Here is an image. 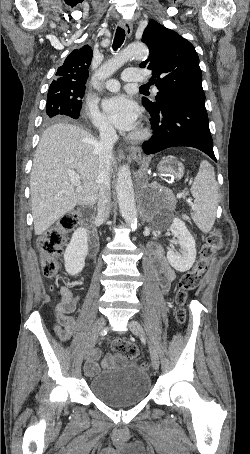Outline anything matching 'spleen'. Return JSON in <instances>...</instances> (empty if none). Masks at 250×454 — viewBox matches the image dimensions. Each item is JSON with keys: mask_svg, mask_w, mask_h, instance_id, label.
<instances>
[{"mask_svg": "<svg viewBox=\"0 0 250 454\" xmlns=\"http://www.w3.org/2000/svg\"><path fill=\"white\" fill-rule=\"evenodd\" d=\"M191 194L194 197L191 217L198 228L207 233L215 222L218 184L214 169L206 160L200 163L199 172L191 187Z\"/></svg>", "mask_w": 250, "mask_h": 454, "instance_id": "spleen-1", "label": "spleen"}]
</instances>
